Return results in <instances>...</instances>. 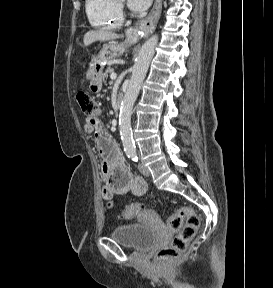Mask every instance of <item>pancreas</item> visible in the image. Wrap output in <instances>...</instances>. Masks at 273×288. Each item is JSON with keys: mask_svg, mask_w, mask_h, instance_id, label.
Wrapping results in <instances>:
<instances>
[{"mask_svg": "<svg viewBox=\"0 0 273 288\" xmlns=\"http://www.w3.org/2000/svg\"><path fill=\"white\" fill-rule=\"evenodd\" d=\"M113 72H114V69L111 68V67H108V68L105 70V72L102 73V80H103L104 83H106V79H107V77H108V74L113 73Z\"/></svg>", "mask_w": 273, "mask_h": 288, "instance_id": "pancreas-1", "label": "pancreas"}]
</instances>
